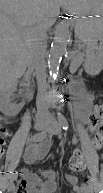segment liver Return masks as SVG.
Segmentation results:
<instances>
[{"mask_svg":"<svg viewBox=\"0 0 103 193\" xmlns=\"http://www.w3.org/2000/svg\"><path fill=\"white\" fill-rule=\"evenodd\" d=\"M60 7L72 11L71 0H1V75L16 81L29 64L32 37L54 22Z\"/></svg>","mask_w":103,"mask_h":193,"instance_id":"liver-1","label":"liver"}]
</instances>
